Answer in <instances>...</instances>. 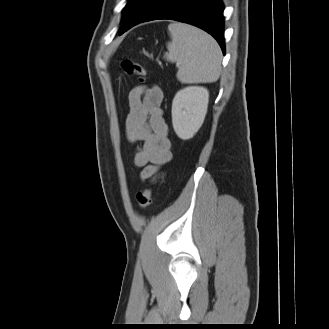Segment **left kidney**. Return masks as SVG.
<instances>
[{"label":"left kidney","instance_id":"1","mask_svg":"<svg viewBox=\"0 0 329 329\" xmlns=\"http://www.w3.org/2000/svg\"><path fill=\"white\" fill-rule=\"evenodd\" d=\"M209 92L201 86L178 91L172 103V124L182 140L191 139L202 126L208 108Z\"/></svg>","mask_w":329,"mask_h":329}]
</instances>
